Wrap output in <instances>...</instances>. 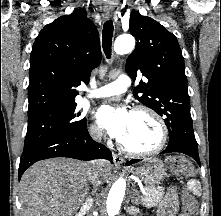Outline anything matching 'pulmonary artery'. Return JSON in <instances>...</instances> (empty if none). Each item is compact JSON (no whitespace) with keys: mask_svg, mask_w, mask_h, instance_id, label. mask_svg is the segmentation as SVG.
Segmentation results:
<instances>
[{"mask_svg":"<svg viewBox=\"0 0 221 216\" xmlns=\"http://www.w3.org/2000/svg\"><path fill=\"white\" fill-rule=\"evenodd\" d=\"M129 87V77L125 74H121L113 82L108 83L95 90L90 96L95 98H103L112 95L122 94L126 92Z\"/></svg>","mask_w":221,"mask_h":216,"instance_id":"obj_1","label":"pulmonary artery"}]
</instances>
